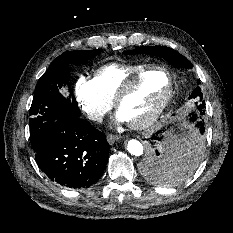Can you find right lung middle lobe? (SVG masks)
Segmentation results:
<instances>
[{"mask_svg":"<svg viewBox=\"0 0 233 233\" xmlns=\"http://www.w3.org/2000/svg\"><path fill=\"white\" fill-rule=\"evenodd\" d=\"M101 51L102 49L65 52L52 61L42 76L30 108V139L35 159L44 148L56 120L64 116H79L80 110L74 96L70 100L59 93V89L68 82L69 63H83Z\"/></svg>","mask_w":233,"mask_h":233,"instance_id":"right-lung-middle-lobe-1","label":"right lung middle lobe"}]
</instances>
